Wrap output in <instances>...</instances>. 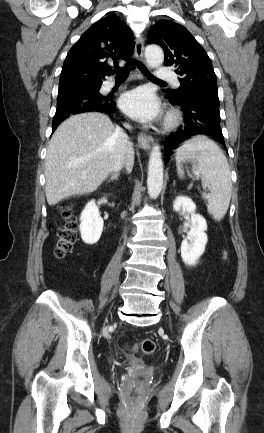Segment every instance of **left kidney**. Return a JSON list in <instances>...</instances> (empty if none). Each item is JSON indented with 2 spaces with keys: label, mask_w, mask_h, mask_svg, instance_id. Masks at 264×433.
<instances>
[{
  "label": "left kidney",
  "mask_w": 264,
  "mask_h": 433,
  "mask_svg": "<svg viewBox=\"0 0 264 433\" xmlns=\"http://www.w3.org/2000/svg\"><path fill=\"white\" fill-rule=\"evenodd\" d=\"M173 209L191 215L190 231L181 243V257L187 266H195L204 253L208 241L205 233L207 230L206 220L200 214H196V205L188 197L178 196L173 203Z\"/></svg>",
  "instance_id": "5707ae66"
}]
</instances>
